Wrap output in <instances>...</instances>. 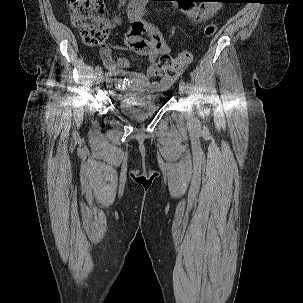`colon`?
Instances as JSON below:
<instances>
[{
	"label": "colon",
	"mask_w": 303,
	"mask_h": 303,
	"mask_svg": "<svg viewBox=\"0 0 303 303\" xmlns=\"http://www.w3.org/2000/svg\"><path fill=\"white\" fill-rule=\"evenodd\" d=\"M73 24L79 28L83 42L88 46H100L108 35V26L103 21L104 5L102 0H67ZM217 26L209 23L205 26L204 36L215 35ZM192 60L190 52H182L172 58L167 52L160 55L153 69L156 74L163 75L169 71L180 70Z\"/></svg>",
	"instance_id": "colon-1"
}]
</instances>
